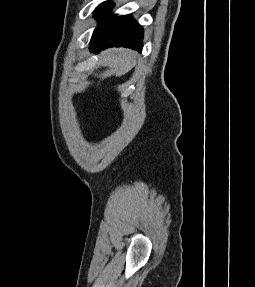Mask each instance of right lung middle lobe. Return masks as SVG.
I'll return each mask as SVG.
<instances>
[{
    "instance_id": "obj_1",
    "label": "right lung middle lobe",
    "mask_w": 255,
    "mask_h": 287,
    "mask_svg": "<svg viewBox=\"0 0 255 287\" xmlns=\"http://www.w3.org/2000/svg\"><path fill=\"white\" fill-rule=\"evenodd\" d=\"M114 3L111 1L103 2L96 8V12L94 14L98 15V22H104L107 19L115 16L111 14L110 10L113 8Z\"/></svg>"
}]
</instances>
